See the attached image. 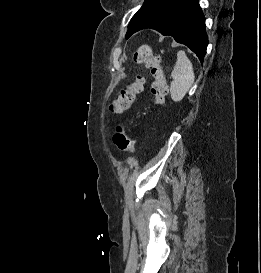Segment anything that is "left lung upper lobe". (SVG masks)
Listing matches in <instances>:
<instances>
[{
  "label": "left lung upper lobe",
  "instance_id": "left-lung-upper-lobe-1",
  "mask_svg": "<svg viewBox=\"0 0 261 273\" xmlns=\"http://www.w3.org/2000/svg\"><path fill=\"white\" fill-rule=\"evenodd\" d=\"M167 0H145L142 7L136 12V14L132 17L128 27H130L137 19H139L142 15L147 13L149 10L154 8L155 6L165 2Z\"/></svg>",
  "mask_w": 261,
  "mask_h": 273
}]
</instances>
